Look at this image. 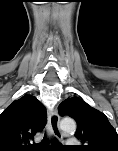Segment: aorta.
Here are the masks:
<instances>
[{"mask_svg":"<svg viewBox=\"0 0 118 151\" xmlns=\"http://www.w3.org/2000/svg\"><path fill=\"white\" fill-rule=\"evenodd\" d=\"M60 129L66 134L74 133L76 130V123L71 118H64L60 122Z\"/></svg>","mask_w":118,"mask_h":151,"instance_id":"1","label":"aorta"}]
</instances>
